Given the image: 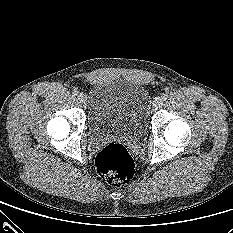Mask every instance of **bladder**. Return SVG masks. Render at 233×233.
<instances>
[{
  "label": "bladder",
  "mask_w": 233,
  "mask_h": 233,
  "mask_svg": "<svg viewBox=\"0 0 233 233\" xmlns=\"http://www.w3.org/2000/svg\"><path fill=\"white\" fill-rule=\"evenodd\" d=\"M88 126L95 138L122 134L142 137L150 123V96L147 89L125 79L98 82L89 97Z\"/></svg>",
  "instance_id": "1"
}]
</instances>
